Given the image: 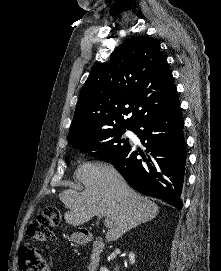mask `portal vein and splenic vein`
Here are the masks:
<instances>
[{"instance_id":"1","label":"portal vein and splenic vein","mask_w":221,"mask_h":271,"mask_svg":"<svg viewBox=\"0 0 221 271\" xmlns=\"http://www.w3.org/2000/svg\"><path fill=\"white\" fill-rule=\"evenodd\" d=\"M99 217H105L104 225H106V227H112L113 223H112L109 215H99Z\"/></svg>"}]
</instances>
